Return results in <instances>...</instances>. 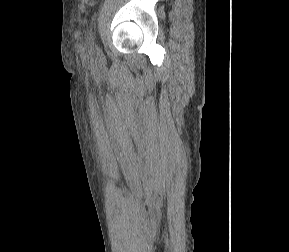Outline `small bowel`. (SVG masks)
Masks as SVG:
<instances>
[{
    "mask_svg": "<svg viewBox=\"0 0 289 252\" xmlns=\"http://www.w3.org/2000/svg\"><path fill=\"white\" fill-rule=\"evenodd\" d=\"M84 4L86 5H93L94 4V0H82Z\"/></svg>",
    "mask_w": 289,
    "mask_h": 252,
    "instance_id": "small-bowel-1",
    "label": "small bowel"
}]
</instances>
